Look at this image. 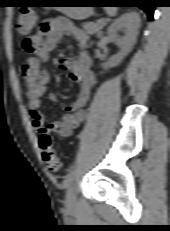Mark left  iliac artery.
Returning <instances> with one entry per match:
<instances>
[{
	"mask_svg": "<svg viewBox=\"0 0 170 231\" xmlns=\"http://www.w3.org/2000/svg\"><path fill=\"white\" fill-rule=\"evenodd\" d=\"M74 175H75V172H74V171H71V172L67 175V177H66V179H65V185H66V187H68V186L70 185V183L72 182V180H73V178H74Z\"/></svg>",
	"mask_w": 170,
	"mask_h": 231,
	"instance_id": "44dca946",
	"label": "left iliac artery"
}]
</instances>
